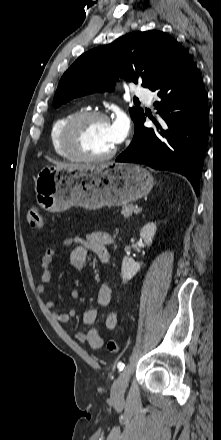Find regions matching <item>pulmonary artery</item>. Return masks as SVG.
I'll use <instances>...</instances> for the list:
<instances>
[{
	"label": "pulmonary artery",
	"mask_w": 221,
	"mask_h": 440,
	"mask_svg": "<svg viewBox=\"0 0 221 440\" xmlns=\"http://www.w3.org/2000/svg\"><path fill=\"white\" fill-rule=\"evenodd\" d=\"M135 95L139 98V99H141V100H144L145 102H147L148 104H150L151 103V101H152V92L150 91V90H148V89H144V88H140V89H137L136 91H135Z\"/></svg>",
	"instance_id": "pulmonary-artery-1"
}]
</instances>
